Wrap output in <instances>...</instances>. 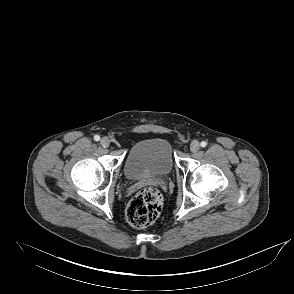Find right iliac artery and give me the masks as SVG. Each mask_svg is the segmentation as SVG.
<instances>
[{
    "mask_svg": "<svg viewBox=\"0 0 294 294\" xmlns=\"http://www.w3.org/2000/svg\"><path fill=\"white\" fill-rule=\"evenodd\" d=\"M94 140H95V141H99V140H100V136H99V135H95V136H94Z\"/></svg>",
    "mask_w": 294,
    "mask_h": 294,
    "instance_id": "1",
    "label": "right iliac artery"
}]
</instances>
